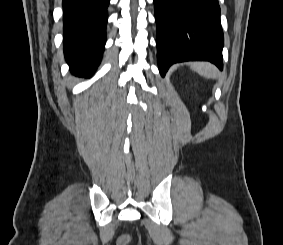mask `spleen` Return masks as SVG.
Segmentation results:
<instances>
[{
  "label": "spleen",
  "mask_w": 283,
  "mask_h": 245,
  "mask_svg": "<svg viewBox=\"0 0 283 245\" xmlns=\"http://www.w3.org/2000/svg\"><path fill=\"white\" fill-rule=\"evenodd\" d=\"M191 68L203 77L213 79L218 77L217 69L210 63L196 62L191 65Z\"/></svg>",
  "instance_id": "spleen-1"
}]
</instances>
